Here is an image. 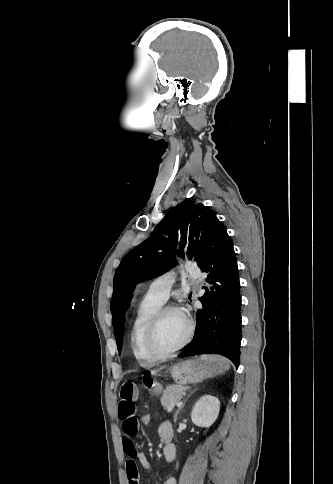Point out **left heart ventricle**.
Listing matches in <instances>:
<instances>
[{
  "mask_svg": "<svg viewBox=\"0 0 333 484\" xmlns=\"http://www.w3.org/2000/svg\"><path fill=\"white\" fill-rule=\"evenodd\" d=\"M188 331L187 319L180 312H169L161 320L157 344L162 350H171L178 346Z\"/></svg>",
  "mask_w": 333,
  "mask_h": 484,
  "instance_id": "b2bd125f",
  "label": "left heart ventricle"
}]
</instances>
